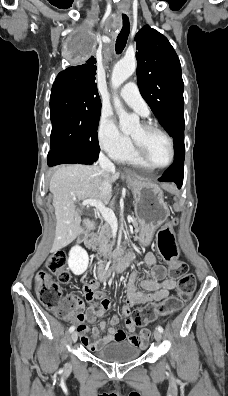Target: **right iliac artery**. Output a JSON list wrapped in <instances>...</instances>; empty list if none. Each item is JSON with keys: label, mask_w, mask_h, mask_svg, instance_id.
Instances as JSON below:
<instances>
[{"label": "right iliac artery", "mask_w": 228, "mask_h": 396, "mask_svg": "<svg viewBox=\"0 0 228 396\" xmlns=\"http://www.w3.org/2000/svg\"><path fill=\"white\" fill-rule=\"evenodd\" d=\"M75 330V327L74 326H71L70 328H69V331L70 332H73Z\"/></svg>", "instance_id": "obj_1"}]
</instances>
